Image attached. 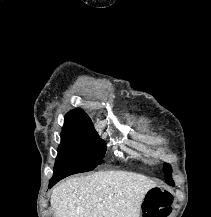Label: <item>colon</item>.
<instances>
[{"label":"colon","mask_w":211,"mask_h":217,"mask_svg":"<svg viewBox=\"0 0 211 217\" xmlns=\"http://www.w3.org/2000/svg\"><path fill=\"white\" fill-rule=\"evenodd\" d=\"M172 196L158 188L151 189L144 203V217H167L171 211Z\"/></svg>","instance_id":"1"}]
</instances>
